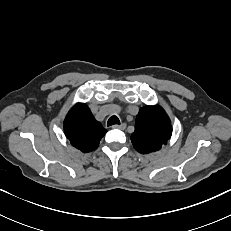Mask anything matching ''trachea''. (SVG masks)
Returning <instances> with one entry per match:
<instances>
[{
    "label": "trachea",
    "mask_w": 231,
    "mask_h": 231,
    "mask_svg": "<svg viewBox=\"0 0 231 231\" xmlns=\"http://www.w3.org/2000/svg\"><path fill=\"white\" fill-rule=\"evenodd\" d=\"M120 125V120L118 119L117 116H111L107 122V126H112V125Z\"/></svg>",
    "instance_id": "trachea-1"
}]
</instances>
